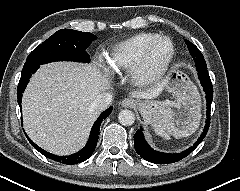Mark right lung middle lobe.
Instances as JSON below:
<instances>
[{"mask_svg":"<svg viewBox=\"0 0 240 191\" xmlns=\"http://www.w3.org/2000/svg\"><path fill=\"white\" fill-rule=\"evenodd\" d=\"M95 39L97 37L89 32L59 30L30 53L23 70L53 61L87 63L90 61V56L86 49Z\"/></svg>","mask_w":240,"mask_h":191,"instance_id":"dd1d6c3e","label":"right lung middle lobe"}]
</instances>
